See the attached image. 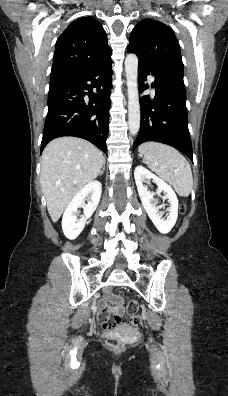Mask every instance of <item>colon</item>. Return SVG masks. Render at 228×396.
Instances as JSON below:
<instances>
[{
  "label": "colon",
  "mask_w": 228,
  "mask_h": 396,
  "mask_svg": "<svg viewBox=\"0 0 228 396\" xmlns=\"http://www.w3.org/2000/svg\"><path fill=\"white\" fill-rule=\"evenodd\" d=\"M185 210V205H182L181 212L184 213ZM117 298L120 297L117 296ZM126 310L131 324L136 328H140L142 326V319L138 313L139 303L136 300H130L126 305ZM120 321L121 319L118 315H113L103 321V327L107 331H113L119 325ZM107 344L110 348L117 350L121 349L124 346V340L120 335L113 334L108 338Z\"/></svg>",
  "instance_id": "colon-1"
}]
</instances>
